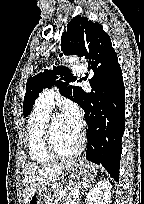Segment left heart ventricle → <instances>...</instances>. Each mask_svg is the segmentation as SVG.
<instances>
[{
  "label": "left heart ventricle",
  "instance_id": "obj_1",
  "mask_svg": "<svg viewBox=\"0 0 144 204\" xmlns=\"http://www.w3.org/2000/svg\"><path fill=\"white\" fill-rule=\"evenodd\" d=\"M54 137L58 148L63 152L74 150L79 140V135L74 132L63 116L54 121Z\"/></svg>",
  "mask_w": 144,
  "mask_h": 204
}]
</instances>
